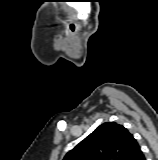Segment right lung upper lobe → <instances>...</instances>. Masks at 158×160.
I'll return each instance as SVG.
<instances>
[{"mask_svg":"<svg viewBox=\"0 0 158 160\" xmlns=\"http://www.w3.org/2000/svg\"><path fill=\"white\" fill-rule=\"evenodd\" d=\"M141 153L138 142L126 128L107 122L69 151L63 160H135Z\"/></svg>","mask_w":158,"mask_h":160,"instance_id":"cb5924a9","label":"right lung upper lobe"}]
</instances>
